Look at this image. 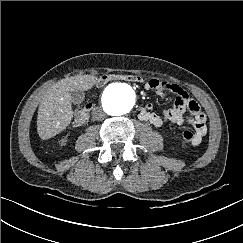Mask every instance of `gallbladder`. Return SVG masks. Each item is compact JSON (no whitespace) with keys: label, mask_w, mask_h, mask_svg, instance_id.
<instances>
[{"label":"gallbladder","mask_w":243,"mask_h":243,"mask_svg":"<svg viewBox=\"0 0 243 243\" xmlns=\"http://www.w3.org/2000/svg\"><path fill=\"white\" fill-rule=\"evenodd\" d=\"M84 99V93L82 91H71V102L73 104H79L83 101Z\"/></svg>","instance_id":"gallbladder-1"}]
</instances>
